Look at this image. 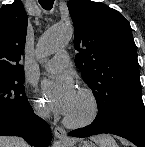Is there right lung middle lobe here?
<instances>
[{
  "instance_id": "obj_1",
  "label": "right lung middle lobe",
  "mask_w": 145,
  "mask_h": 147,
  "mask_svg": "<svg viewBox=\"0 0 145 147\" xmlns=\"http://www.w3.org/2000/svg\"><path fill=\"white\" fill-rule=\"evenodd\" d=\"M24 75L0 79V117L20 114L30 105L24 94Z\"/></svg>"
}]
</instances>
